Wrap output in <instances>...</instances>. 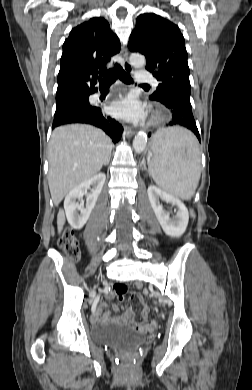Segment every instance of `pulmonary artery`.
<instances>
[{
    "mask_svg": "<svg viewBox=\"0 0 252 390\" xmlns=\"http://www.w3.org/2000/svg\"><path fill=\"white\" fill-rule=\"evenodd\" d=\"M135 80L137 82H152L155 86L158 85L157 81L152 77V75H150L147 72H142V71L136 72ZM99 96H100L99 93L94 95L95 98H98Z\"/></svg>",
    "mask_w": 252,
    "mask_h": 390,
    "instance_id": "obj_1",
    "label": "pulmonary artery"
}]
</instances>
